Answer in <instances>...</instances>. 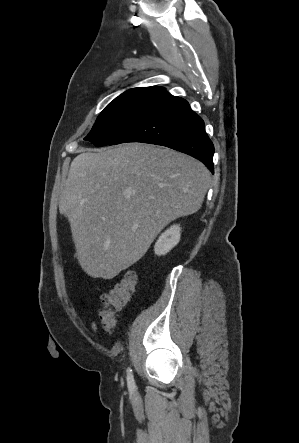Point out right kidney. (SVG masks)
<instances>
[{"mask_svg": "<svg viewBox=\"0 0 299 443\" xmlns=\"http://www.w3.org/2000/svg\"><path fill=\"white\" fill-rule=\"evenodd\" d=\"M180 231L181 228L179 225H173L162 233L155 243V254L158 256L165 255L176 246L180 240Z\"/></svg>", "mask_w": 299, "mask_h": 443, "instance_id": "obj_1", "label": "right kidney"}]
</instances>
